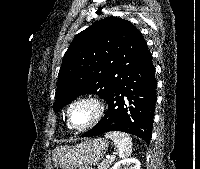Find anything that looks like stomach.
I'll return each instance as SVG.
<instances>
[{"instance_id": "obj_1", "label": "stomach", "mask_w": 200, "mask_h": 169, "mask_svg": "<svg viewBox=\"0 0 200 169\" xmlns=\"http://www.w3.org/2000/svg\"><path fill=\"white\" fill-rule=\"evenodd\" d=\"M108 148V142L99 138L87 140L75 146H61L52 155L55 166L61 169H76L84 165L98 164Z\"/></svg>"}]
</instances>
